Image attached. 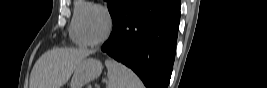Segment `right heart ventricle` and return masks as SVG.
Wrapping results in <instances>:
<instances>
[{"label": "right heart ventricle", "mask_w": 267, "mask_h": 88, "mask_svg": "<svg viewBox=\"0 0 267 88\" xmlns=\"http://www.w3.org/2000/svg\"><path fill=\"white\" fill-rule=\"evenodd\" d=\"M93 5L94 4L90 2L81 0H77L74 2L73 14L69 25V35L71 40L78 46H86V43L83 41L79 33L80 17L85 10L92 7Z\"/></svg>", "instance_id": "right-heart-ventricle-1"}]
</instances>
